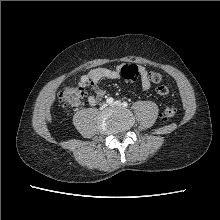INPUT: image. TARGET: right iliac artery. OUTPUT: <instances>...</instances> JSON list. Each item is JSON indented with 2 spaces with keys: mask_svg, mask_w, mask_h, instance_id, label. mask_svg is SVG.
<instances>
[{
  "mask_svg": "<svg viewBox=\"0 0 220 220\" xmlns=\"http://www.w3.org/2000/svg\"><path fill=\"white\" fill-rule=\"evenodd\" d=\"M106 102L108 104H112L114 102V99L112 97L107 98Z\"/></svg>",
  "mask_w": 220,
  "mask_h": 220,
  "instance_id": "obj_1",
  "label": "right iliac artery"
}]
</instances>
